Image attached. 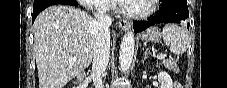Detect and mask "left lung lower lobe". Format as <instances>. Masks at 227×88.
<instances>
[{
    "label": "left lung lower lobe",
    "instance_id": "left-lung-lower-lobe-1",
    "mask_svg": "<svg viewBox=\"0 0 227 88\" xmlns=\"http://www.w3.org/2000/svg\"><path fill=\"white\" fill-rule=\"evenodd\" d=\"M189 17L187 0H161L158 13L148 21H135L133 23L135 33L160 23H180ZM189 27V24H188Z\"/></svg>",
    "mask_w": 227,
    "mask_h": 88
}]
</instances>
